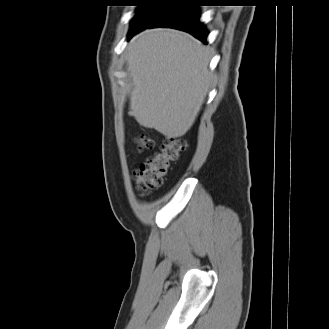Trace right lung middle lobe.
<instances>
[{
	"label": "right lung middle lobe",
	"mask_w": 329,
	"mask_h": 329,
	"mask_svg": "<svg viewBox=\"0 0 329 329\" xmlns=\"http://www.w3.org/2000/svg\"><path fill=\"white\" fill-rule=\"evenodd\" d=\"M139 5L135 16L132 18L130 32L144 27L154 21L170 4L178 0H136Z\"/></svg>",
	"instance_id": "right-lung-middle-lobe-1"
}]
</instances>
